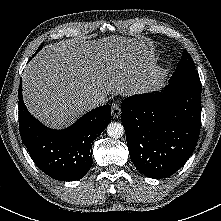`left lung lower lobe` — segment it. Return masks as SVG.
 Wrapping results in <instances>:
<instances>
[{"label":"left lung lower lobe","mask_w":221,"mask_h":221,"mask_svg":"<svg viewBox=\"0 0 221 221\" xmlns=\"http://www.w3.org/2000/svg\"><path fill=\"white\" fill-rule=\"evenodd\" d=\"M130 158L149 178L174 174L199 138L201 82H170L162 92L134 95L121 104Z\"/></svg>","instance_id":"0a47b994"}]
</instances>
